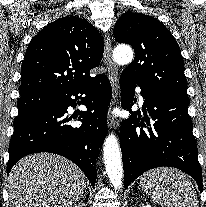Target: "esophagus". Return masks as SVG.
<instances>
[{"label":"esophagus","instance_id":"34e87169","mask_svg":"<svg viewBox=\"0 0 206 207\" xmlns=\"http://www.w3.org/2000/svg\"><path fill=\"white\" fill-rule=\"evenodd\" d=\"M104 60L110 71L111 80H112V89H113V99H112V107L117 104L118 101V66L114 62L112 57V45H111V37L109 34L105 37V48H104ZM119 119L110 115L108 119V126L110 128H118Z\"/></svg>","mask_w":206,"mask_h":207}]
</instances>
